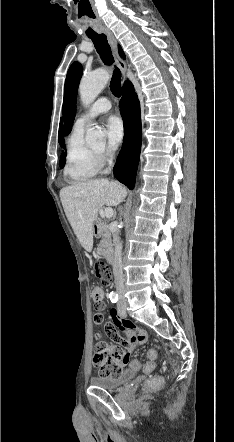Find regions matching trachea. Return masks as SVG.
Here are the masks:
<instances>
[{
    "mask_svg": "<svg viewBox=\"0 0 234 442\" xmlns=\"http://www.w3.org/2000/svg\"><path fill=\"white\" fill-rule=\"evenodd\" d=\"M90 38L104 64L111 66L114 63V58L112 56V51L107 41V36L102 33L100 35H96ZM110 89L116 97L121 96L122 94L121 72L117 67H115L113 71V75L110 82Z\"/></svg>",
    "mask_w": 234,
    "mask_h": 442,
    "instance_id": "trachea-1",
    "label": "trachea"
}]
</instances>
